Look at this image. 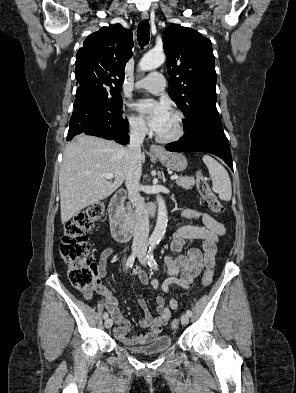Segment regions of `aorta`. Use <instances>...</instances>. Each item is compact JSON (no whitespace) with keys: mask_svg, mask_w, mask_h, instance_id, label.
<instances>
[{"mask_svg":"<svg viewBox=\"0 0 296 393\" xmlns=\"http://www.w3.org/2000/svg\"><path fill=\"white\" fill-rule=\"evenodd\" d=\"M164 61H165V55L163 52L149 51L140 60L139 69L141 71H150L161 66L164 63ZM156 200L158 204V216H157L155 229L150 236V242L152 244H156L161 240V238L165 233L167 222H168L167 208L165 205V201L160 195H157Z\"/></svg>","mask_w":296,"mask_h":393,"instance_id":"762f6f07","label":"aorta"}]
</instances>
